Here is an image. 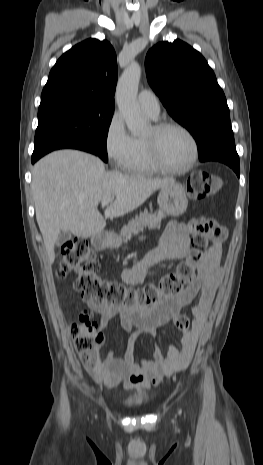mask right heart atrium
<instances>
[{
	"label": "right heart atrium",
	"instance_id": "d8ad5b80",
	"mask_svg": "<svg viewBox=\"0 0 263 465\" xmlns=\"http://www.w3.org/2000/svg\"><path fill=\"white\" fill-rule=\"evenodd\" d=\"M104 149L108 159L119 169H127L133 155V137L118 112L110 117L104 133Z\"/></svg>",
	"mask_w": 263,
	"mask_h": 465
}]
</instances>
